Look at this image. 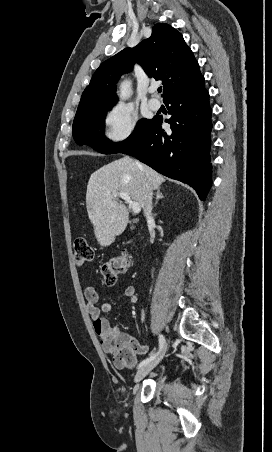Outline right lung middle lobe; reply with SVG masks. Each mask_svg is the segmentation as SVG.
<instances>
[{"instance_id": "dd1d6c3e", "label": "right lung middle lobe", "mask_w": 272, "mask_h": 452, "mask_svg": "<svg viewBox=\"0 0 272 452\" xmlns=\"http://www.w3.org/2000/svg\"><path fill=\"white\" fill-rule=\"evenodd\" d=\"M110 107L94 108L77 114L73 122V137L77 144L91 146L103 154L119 153L131 146L149 126L152 119H142L124 141L114 143L104 134L105 113Z\"/></svg>"}]
</instances>
